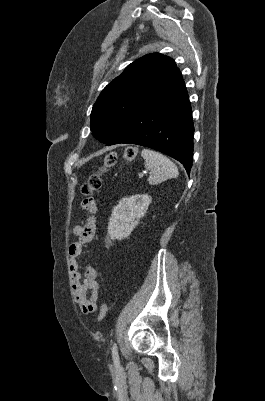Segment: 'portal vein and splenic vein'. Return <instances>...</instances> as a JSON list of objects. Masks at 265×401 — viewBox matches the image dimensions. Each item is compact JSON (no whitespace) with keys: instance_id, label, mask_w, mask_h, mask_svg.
Returning a JSON list of instances; mask_svg holds the SVG:
<instances>
[{"instance_id":"obj_1","label":"portal vein and splenic vein","mask_w":265,"mask_h":401,"mask_svg":"<svg viewBox=\"0 0 265 401\" xmlns=\"http://www.w3.org/2000/svg\"><path fill=\"white\" fill-rule=\"evenodd\" d=\"M147 170H143V172H140V174L138 175V178H141V176H144V174H146Z\"/></svg>"}]
</instances>
